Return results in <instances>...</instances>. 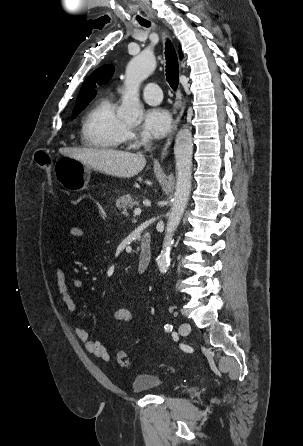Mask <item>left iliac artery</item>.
<instances>
[{"instance_id":"44dca946","label":"left iliac artery","mask_w":303,"mask_h":446,"mask_svg":"<svg viewBox=\"0 0 303 446\" xmlns=\"http://www.w3.org/2000/svg\"><path fill=\"white\" fill-rule=\"evenodd\" d=\"M164 328H165V331L170 332V331H172L173 326L170 324H166Z\"/></svg>"}]
</instances>
